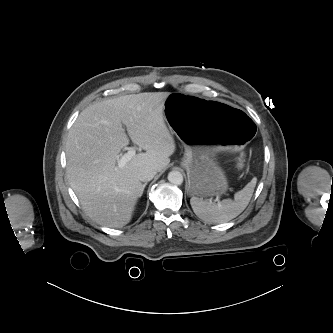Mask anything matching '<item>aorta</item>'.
<instances>
[{"mask_svg": "<svg viewBox=\"0 0 333 333\" xmlns=\"http://www.w3.org/2000/svg\"><path fill=\"white\" fill-rule=\"evenodd\" d=\"M168 180L174 185H181L183 183V175L178 171H171L168 174Z\"/></svg>", "mask_w": 333, "mask_h": 333, "instance_id": "1", "label": "aorta"}]
</instances>
